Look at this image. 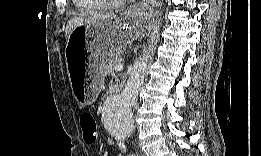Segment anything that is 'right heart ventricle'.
I'll list each match as a JSON object with an SVG mask.
<instances>
[{"instance_id":"1","label":"right heart ventricle","mask_w":261,"mask_h":156,"mask_svg":"<svg viewBox=\"0 0 261 156\" xmlns=\"http://www.w3.org/2000/svg\"><path fill=\"white\" fill-rule=\"evenodd\" d=\"M86 0H79V2H85Z\"/></svg>"}]
</instances>
